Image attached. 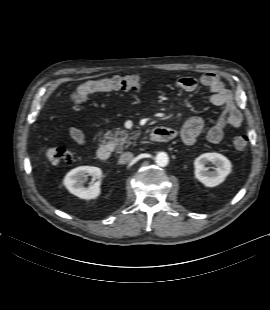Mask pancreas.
I'll use <instances>...</instances> for the list:
<instances>
[{"label":"pancreas","instance_id":"pancreas-1","mask_svg":"<svg viewBox=\"0 0 270 310\" xmlns=\"http://www.w3.org/2000/svg\"><path fill=\"white\" fill-rule=\"evenodd\" d=\"M130 132L127 130L117 129L114 133H106L103 142H106L111 150L121 152L124 148H127L132 144V139H136V136H130Z\"/></svg>","mask_w":270,"mask_h":310}]
</instances>
